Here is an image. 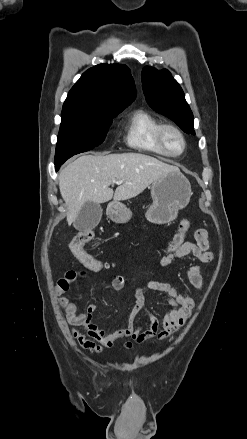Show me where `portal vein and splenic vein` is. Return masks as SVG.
I'll return each mask as SVG.
<instances>
[{
  "label": "portal vein and splenic vein",
  "instance_id": "18ae733b",
  "mask_svg": "<svg viewBox=\"0 0 247 439\" xmlns=\"http://www.w3.org/2000/svg\"><path fill=\"white\" fill-rule=\"evenodd\" d=\"M113 183H115V184H118V185H119V184H122V183H123V181H117V180H114V181H113Z\"/></svg>",
  "mask_w": 247,
  "mask_h": 439
}]
</instances>
